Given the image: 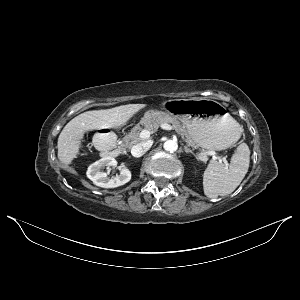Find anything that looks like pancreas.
<instances>
[{
	"label": "pancreas",
	"instance_id": "1",
	"mask_svg": "<svg viewBox=\"0 0 300 300\" xmlns=\"http://www.w3.org/2000/svg\"><path fill=\"white\" fill-rule=\"evenodd\" d=\"M163 123L171 124L173 129L180 134L186 142H188L195 149L198 148V145L193 141L185 127L181 125L180 121L174 116L162 112H158V115L155 117L144 116L140 124L135 126L131 132L123 138L121 147L129 148L137 143H140L142 141L140 138V133L142 130H148L152 134ZM198 155L200 160H207V155L203 153Z\"/></svg>",
	"mask_w": 300,
	"mask_h": 300
}]
</instances>
